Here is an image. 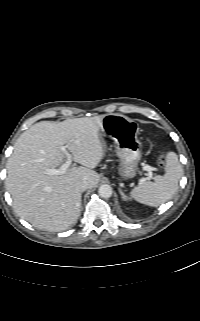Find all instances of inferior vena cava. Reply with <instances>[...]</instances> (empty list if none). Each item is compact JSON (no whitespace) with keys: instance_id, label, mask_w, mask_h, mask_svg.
<instances>
[{"instance_id":"1","label":"inferior vena cava","mask_w":200,"mask_h":321,"mask_svg":"<svg viewBox=\"0 0 200 321\" xmlns=\"http://www.w3.org/2000/svg\"><path fill=\"white\" fill-rule=\"evenodd\" d=\"M76 188L83 192L89 188V183L86 180H80L76 183Z\"/></svg>"}]
</instances>
